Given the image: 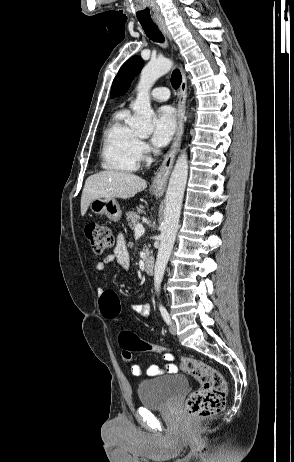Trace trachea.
Masks as SVG:
<instances>
[{
  "instance_id": "obj_1",
  "label": "trachea",
  "mask_w": 294,
  "mask_h": 462,
  "mask_svg": "<svg viewBox=\"0 0 294 462\" xmlns=\"http://www.w3.org/2000/svg\"><path fill=\"white\" fill-rule=\"evenodd\" d=\"M147 37L154 41V42H159V43H163L164 42V36L162 35V33L160 32V30L158 29V26L153 23V22H140ZM181 81H182V76H181V73L179 71V69H175L172 73V76H171V84L173 86L174 89H177L180 84H181Z\"/></svg>"
}]
</instances>
